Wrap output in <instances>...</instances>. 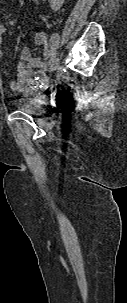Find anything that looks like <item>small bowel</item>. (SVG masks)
I'll return each mask as SVG.
<instances>
[{
    "instance_id": "obj_1",
    "label": "small bowel",
    "mask_w": 127,
    "mask_h": 303,
    "mask_svg": "<svg viewBox=\"0 0 127 303\" xmlns=\"http://www.w3.org/2000/svg\"><path fill=\"white\" fill-rule=\"evenodd\" d=\"M18 1L21 7H26L25 0ZM7 31L8 27L0 23V62L4 57L2 39ZM36 42L43 48V57H34L28 48L22 50L17 65V78L9 83L13 92L31 94L35 85L44 86L47 83L45 73L48 68L47 60L51 56V47L42 32L37 34Z\"/></svg>"
}]
</instances>
